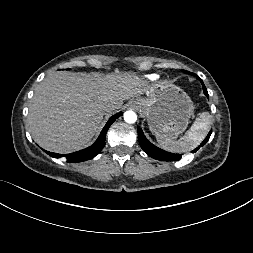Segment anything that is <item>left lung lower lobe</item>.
<instances>
[{
  "label": "left lung lower lobe",
  "mask_w": 253,
  "mask_h": 253,
  "mask_svg": "<svg viewBox=\"0 0 253 253\" xmlns=\"http://www.w3.org/2000/svg\"><path fill=\"white\" fill-rule=\"evenodd\" d=\"M187 74H191L193 76H195L202 84L203 86V91L204 94L208 97V92L207 89L202 81V79L197 76L194 73L191 72H186ZM211 131L209 132V134L207 135V137L204 139V141L200 144V146H198L196 149H194L192 152H196L200 147L204 146L207 141L209 140V137L211 135ZM138 140H139V144L141 146V148L152 158L157 159V160H162V161H177L181 159V155L180 154H173V153H169L167 151H164L156 146H154L151 142H149L147 140V138L144 136L143 131L140 127H138Z\"/></svg>",
  "instance_id": "1"
}]
</instances>
